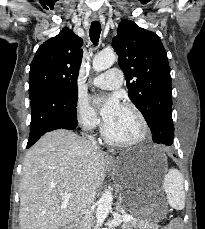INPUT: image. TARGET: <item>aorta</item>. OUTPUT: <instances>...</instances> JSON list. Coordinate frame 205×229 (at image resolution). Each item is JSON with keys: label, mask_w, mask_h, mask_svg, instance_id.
<instances>
[{"label": "aorta", "mask_w": 205, "mask_h": 229, "mask_svg": "<svg viewBox=\"0 0 205 229\" xmlns=\"http://www.w3.org/2000/svg\"><path fill=\"white\" fill-rule=\"evenodd\" d=\"M116 61V54L113 51H104L95 55L93 59V69L95 71H103L110 68ZM113 195L110 191H105L98 201L96 211L97 226H101L111 210Z\"/></svg>", "instance_id": "762f6f07"}]
</instances>
